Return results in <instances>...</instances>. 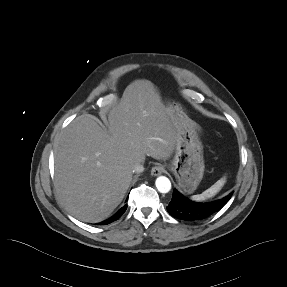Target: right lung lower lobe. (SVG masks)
<instances>
[{"label": "right lung lower lobe", "mask_w": 287, "mask_h": 287, "mask_svg": "<svg viewBox=\"0 0 287 287\" xmlns=\"http://www.w3.org/2000/svg\"><path fill=\"white\" fill-rule=\"evenodd\" d=\"M127 209V204H125L122 208H120L113 216H111L110 218L104 220L101 222L102 225H107L109 223H112L116 220H118L126 211Z\"/></svg>", "instance_id": "98d812e1"}]
</instances>
